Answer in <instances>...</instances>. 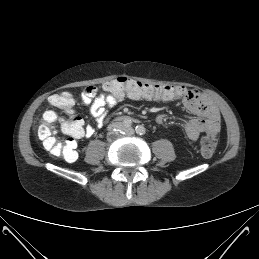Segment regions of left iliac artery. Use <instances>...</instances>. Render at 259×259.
Returning <instances> with one entry per match:
<instances>
[{
  "mask_svg": "<svg viewBox=\"0 0 259 259\" xmlns=\"http://www.w3.org/2000/svg\"><path fill=\"white\" fill-rule=\"evenodd\" d=\"M135 130H136V133L139 134V135H145L146 134V129L142 125L136 126Z\"/></svg>",
  "mask_w": 259,
  "mask_h": 259,
  "instance_id": "left-iliac-artery-1",
  "label": "left iliac artery"
}]
</instances>
